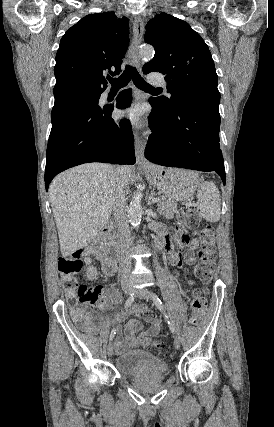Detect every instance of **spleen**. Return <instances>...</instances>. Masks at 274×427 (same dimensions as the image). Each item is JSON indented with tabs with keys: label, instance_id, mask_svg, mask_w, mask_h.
Returning <instances> with one entry per match:
<instances>
[{
	"label": "spleen",
	"instance_id": "spleen-1",
	"mask_svg": "<svg viewBox=\"0 0 274 427\" xmlns=\"http://www.w3.org/2000/svg\"><path fill=\"white\" fill-rule=\"evenodd\" d=\"M198 208L202 217L206 221H219L220 219V194L213 182H204L199 184L198 192Z\"/></svg>",
	"mask_w": 274,
	"mask_h": 427
}]
</instances>
